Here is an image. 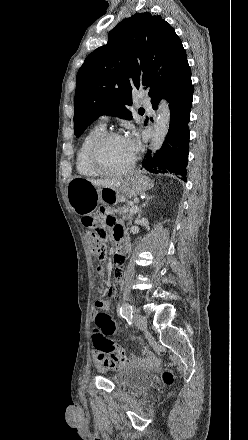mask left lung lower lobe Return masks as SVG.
<instances>
[{"label":"left lung lower lobe","instance_id":"obj_1","mask_svg":"<svg viewBox=\"0 0 248 440\" xmlns=\"http://www.w3.org/2000/svg\"><path fill=\"white\" fill-rule=\"evenodd\" d=\"M193 85L191 79L183 84L173 87L164 98L167 99L170 107V125L160 150L153 156L149 151L142 162L145 170L151 173H175L186 176L190 132L188 123L193 97ZM159 101L152 103L156 109ZM186 181V177L181 178Z\"/></svg>","mask_w":248,"mask_h":440}]
</instances>
